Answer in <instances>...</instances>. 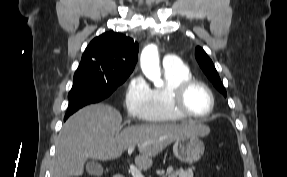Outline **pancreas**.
I'll list each match as a JSON object with an SVG mask.
<instances>
[{"label": "pancreas", "instance_id": "obj_1", "mask_svg": "<svg viewBox=\"0 0 287 177\" xmlns=\"http://www.w3.org/2000/svg\"><path fill=\"white\" fill-rule=\"evenodd\" d=\"M163 171H158V174L162 175ZM166 175L168 177H193V169L188 168L184 170L180 168L179 170H174L172 167L167 168Z\"/></svg>", "mask_w": 287, "mask_h": 177}]
</instances>
